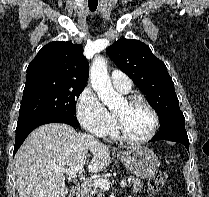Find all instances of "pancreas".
Instances as JSON below:
<instances>
[{"instance_id":"1","label":"pancreas","mask_w":209,"mask_h":197,"mask_svg":"<svg viewBox=\"0 0 209 197\" xmlns=\"http://www.w3.org/2000/svg\"><path fill=\"white\" fill-rule=\"evenodd\" d=\"M103 179H107L106 177H103ZM133 193H140L142 188V183L140 179L132 177L130 180V184ZM84 192L87 195V197H103L104 193L103 190L100 189L98 186H96L93 183H87L84 187Z\"/></svg>"}]
</instances>
